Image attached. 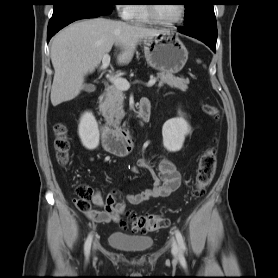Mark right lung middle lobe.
Wrapping results in <instances>:
<instances>
[{
	"mask_svg": "<svg viewBox=\"0 0 278 278\" xmlns=\"http://www.w3.org/2000/svg\"><path fill=\"white\" fill-rule=\"evenodd\" d=\"M113 0H53V15L56 18L66 10L82 9L99 14H110L112 12Z\"/></svg>",
	"mask_w": 278,
	"mask_h": 278,
	"instance_id": "dd1d6c3e",
	"label": "right lung middle lobe"
}]
</instances>
